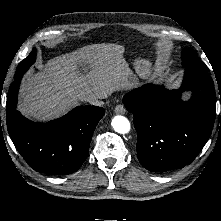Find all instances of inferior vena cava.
<instances>
[{"mask_svg": "<svg viewBox=\"0 0 221 221\" xmlns=\"http://www.w3.org/2000/svg\"><path fill=\"white\" fill-rule=\"evenodd\" d=\"M85 102H88L91 105H95V106H102L104 103L100 100H98V98L94 95H90L88 97L84 98Z\"/></svg>", "mask_w": 221, "mask_h": 221, "instance_id": "1", "label": "inferior vena cava"}]
</instances>
